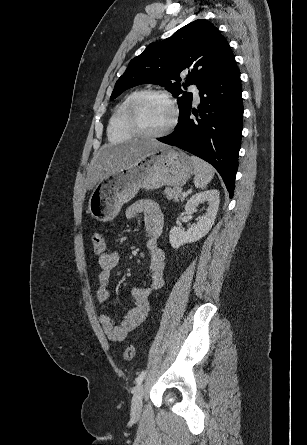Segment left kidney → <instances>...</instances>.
I'll use <instances>...</instances> for the list:
<instances>
[{"label":"left kidney","mask_w":307,"mask_h":445,"mask_svg":"<svg viewBox=\"0 0 307 445\" xmlns=\"http://www.w3.org/2000/svg\"><path fill=\"white\" fill-rule=\"evenodd\" d=\"M205 200H208L209 206L207 212L200 216L197 225H194V227H191L188 231H184L183 227H173V229H171L169 239L173 249H179L181 245H186V243L199 241V239L208 235L210 229H212L220 202L219 192L216 188L193 194L188 202H186L185 210L186 212H195L199 202H205Z\"/></svg>","instance_id":"left-kidney-1"}]
</instances>
